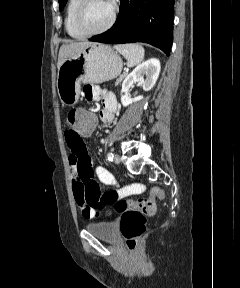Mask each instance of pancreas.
Wrapping results in <instances>:
<instances>
[{"mask_svg": "<svg viewBox=\"0 0 240 288\" xmlns=\"http://www.w3.org/2000/svg\"><path fill=\"white\" fill-rule=\"evenodd\" d=\"M125 76H126V73H123L122 75H120L119 78L116 80L115 85H118Z\"/></svg>", "mask_w": 240, "mask_h": 288, "instance_id": "1", "label": "pancreas"}]
</instances>
